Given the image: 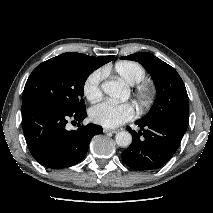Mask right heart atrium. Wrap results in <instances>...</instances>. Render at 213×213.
<instances>
[{
	"instance_id": "d8ad5b80",
	"label": "right heart atrium",
	"mask_w": 213,
	"mask_h": 213,
	"mask_svg": "<svg viewBox=\"0 0 213 213\" xmlns=\"http://www.w3.org/2000/svg\"><path fill=\"white\" fill-rule=\"evenodd\" d=\"M105 76L104 69L92 71L84 81L83 92L85 97L90 101L98 100L102 95V81Z\"/></svg>"
}]
</instances>
